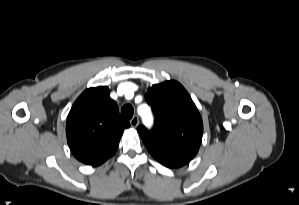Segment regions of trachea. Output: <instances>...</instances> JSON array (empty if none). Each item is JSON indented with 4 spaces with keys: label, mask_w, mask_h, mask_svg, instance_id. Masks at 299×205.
<instances>
[{
    "label": "trachea",
    "mask_w": 299,
    "mask_h": 205,
    "mask_svg": "<svg viewBox=\"0 0 299 205\" xmlns=\"http://www.w3.org/2000/svg\"><path fill=\"white\" fill-rule=\"evenodd\" d=\"M134 113V109L130 104H126L121 109V116L124 119H130L132 118Z\"/></svg>",
    "instance_id": "3493384b"
}]
</instances>
